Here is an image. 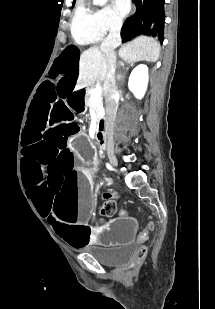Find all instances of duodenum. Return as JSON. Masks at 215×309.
<instances>
[{"mask_svg": "<svg viewBox=\"0 0 215 309\" xmlns=\"http://www.w3.org/2000/svg\"><path fill=\"white\" fill-rule=\"evenodd\" d=\"M96 142L97 145L104 149L106 147V139H105V132H104V120L103 119H99V127L98 130L96 132Z\"/></svg>", "mask_w": 215, "mask_h": 309, "instance_id": "obj_1", "label": "duodenum"}]
</instances>
